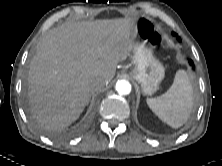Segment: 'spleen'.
Listing matches in <instances>:
<instances>
[{
  "mask_svg": "<svg viewBox=\"0 0 222 166\" xmlns=\"http://www.w3.org/2000/svg\"><path fill=\"white\" fill-rule=\"evenodd\" d=\"M193 89L185 70H178L173 84L163 95L146 100L149 108L164 123L179 128L188 120L193 107Z\"/></svg>",
  "mask_w": 222,
  "mask_h": 166,
  "instance_id": "1",
  "label": "spleen"
}]
</instances>
